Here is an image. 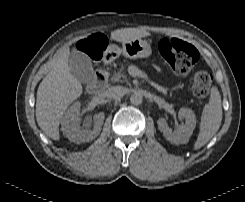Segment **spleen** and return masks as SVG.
I'll return each mask as SVG.
<instances>
[{"instance_id": "obj_1", "label": "spleen", "mask_w": 245, "mask_h": 202, "mask_svg": "<svg viewBox=\"0 0 245 202\" xmlns=\"http://www.w3.org/2000/svg\"><path fill=\"white\" fill-rule=\"evenodd\" d=\"M222 121L221 96L216 87L211 89L209 103L203 108L200 131L194 149L204 146L219 130Z\"/></svg>"}]
</instances>
